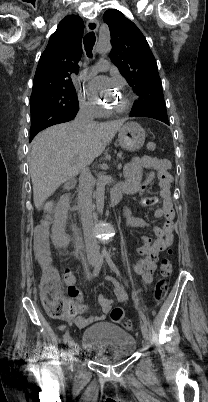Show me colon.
<instances>
[{
  "label": "colon",
  "instance_id": "5ec220e1",
  "mask_svg": "<svg viewBox=\"0 0 208 402\" xmlns=\"http://www.w3.org/2000/svg\"><path fill=\"white\" fill-rule=\"evenodd\" d=\"M148 151H155L156 144L149 142L147 144ZM49 233L36 232L34 237V244L36 248V257L38 265H43L44 278L40 283L39 288L44 292L42 299V308H47L48 314H68L74 315L75 306L73 299H64V294L68 293L67 286L69 280L67 277H60L58 273L57 262L52 261L49 252ZM160 278L155 284L152 291L153 303L161 304L168 291V283L166 281L172 274V265L169 260L163 259L159 263ZM111 320L124 327H130V320L128 319L125 311L121 307H114L111 311Z\"/></svg>",
  "mask_w": 208,
  "mask_h": 402
}]
</instances>
